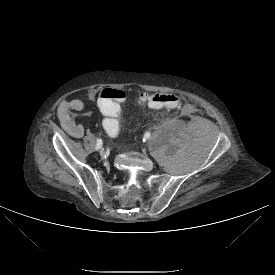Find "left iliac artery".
Masks as SVG:
<instances>
[{
	"instance_id": "44dca946",
	"label": "left iliac artery",
	"mask_w": 275,
	"mask_h": 275,
	"mask_svg": "<svg viewBox=\"0 0 275 275\" xmlns=\"http://www.w3.org/2000/svg\"><path fill=\"white\" fill-rule=\"evenodd\" d=\"M150 136H151V134L149 132H146L144 135L145 138H149Z\"/></svg>"
}]
</instances>
